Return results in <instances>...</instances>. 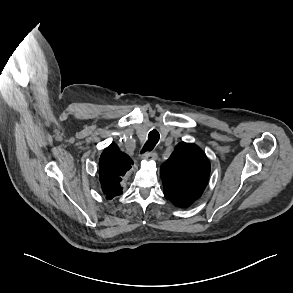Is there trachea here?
<instances>
[{
    "label": "trachea",
    "mask_w": 293,
    "mask_h": 293,
    "mask_svg": "<svg viewBox=\"0 0 293 293\" xmlns=\"http://www.w3.org/2000/svg\"><path fill=\"white\" fill-rule=\"evenodd\" d=\"M159 139L160 135L157 130L154 129L150 131L148 135V141L143 146L141 154L151 151L154 148V146L158 143Z\"/></svg>",
    "instance_id": "obj_1"
}]
</instances>
